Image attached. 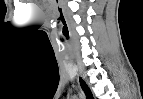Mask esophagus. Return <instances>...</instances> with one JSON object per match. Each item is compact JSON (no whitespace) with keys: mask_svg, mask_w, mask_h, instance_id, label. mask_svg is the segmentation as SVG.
Here are the masks:
<instances>
[{"mask_svg":"<svg viewBox=\"0 0 143 99\" xmlns=\"http://www.w3.org/2000/svg\"><path fill=\"white\" fill-rule=\"evenodd\" d=\"M77 80H78L80 89L84 95V98L85 99H94L95 96L93 94V91H92L90 85L88 84L87 80L81 73L78 74Z\"/></svg>","mask_w":143,"mask_h":99,"instance_id":"esophagus-1","label":"esophagus"}]
</instances>
